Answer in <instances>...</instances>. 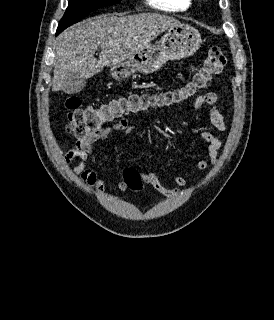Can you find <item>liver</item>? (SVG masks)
<instances>
[{"label": "liver", "mask_w": 274, "mask_h": 320, "mask_svg": "<svg viewBox=\"0 0 274 320\" xmlns=\"http://www.w3.org/2000/svg\"><path fill=\"white\" fill-rule=\"evenodd\" d=\"M178 24L179 20L163 14H103L67 28L56 38L54 46L53 92H80V80L92 78L104 66L132 58L139 50L149 48L159 34Z\"/></svg>", "instance_id": "liver-1"}]
</instances>
